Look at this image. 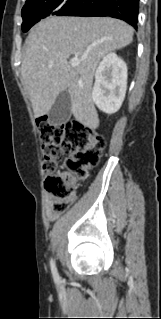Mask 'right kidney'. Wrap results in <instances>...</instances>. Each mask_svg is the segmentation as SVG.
<instances>
[{"instance_id": "ca27d5eb", "label": "right kidney", "mask_w": 161, "mask_h": 319, "mask_svg": "<svg viewBox=\"0 0 161 319\" xmlns=\"http://www.w3.org/2000/svg\"><path fill=\"white\" fill-rule=\"evenodd\" d=\"M127 89V66L115 53L103 57L95 73L92 99L107 114L117 112Z\"/></svg>"}]
</instances>
